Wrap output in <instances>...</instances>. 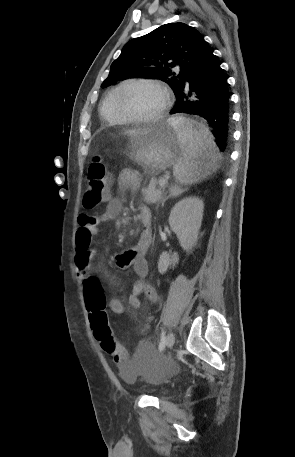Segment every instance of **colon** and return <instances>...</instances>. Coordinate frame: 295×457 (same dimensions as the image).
I'll return each instance as SVG.
<instances>
[{
  "label": "colon",
  "instance_id": "colon-1",
  "mask_svg": "<svg viewBox=\"0 0 295 457\" xmlns=\"http://www.w3.org/2000/svg\"><path fill=\"white\" fill-rule=\"evenodd\" d=\"M110 178L107 167L100 156H95L88 167V184L83 197L86 209H93L107 199ZM86 304L90 311V321L100 350L112 356L113 363H120L129 356L123 351L121 343L116 342L109 325L102 283L95 277L87 279L84 285Z\"/></svg>",
  "mask_w": 295,
  "mask_h": 457
}]
</instances>
